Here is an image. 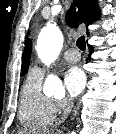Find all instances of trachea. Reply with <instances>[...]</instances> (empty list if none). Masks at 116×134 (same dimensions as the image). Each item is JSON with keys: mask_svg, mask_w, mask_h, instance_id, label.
<instances>
[{"mask_svg": "<svg viewBox=\"0 0 116 134\" xmlns=\"http://www.w3.org/2000/svg\"><path fill=\"white\" fill-rule=\"evenodd\" d=\"M76 45L80 50L85 51V49H86L85 37L82 36V37L78 38Z\"/></svg>", "mask_w": 116, "mask_h": 134, "instance_id": "trachea-1", "label": "trachea"}]
</instances>
